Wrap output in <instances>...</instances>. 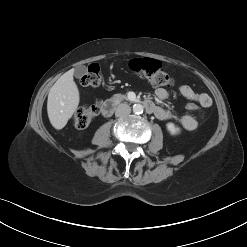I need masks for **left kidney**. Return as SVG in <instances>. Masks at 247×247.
Wrapping results in <instances>:
<instances>
[{"label": "left kidney", "mask_w": 247, "mask_h": 247, "mask_svg": "<svg viewBox=\"0 0 247 247\" xmlns=\"http://www.w3.org/2000/svg\"><path fill=\"white\" fill-rule=\"evenodd\" d=\"M166 128L171 135H177L181 132V129L178 126H176L174 123H171V122L166 124Z\"/></svg>", "instance_id": "1"}]
</instances>
